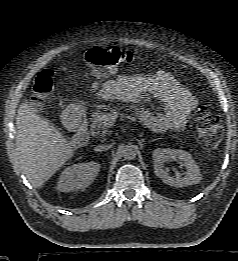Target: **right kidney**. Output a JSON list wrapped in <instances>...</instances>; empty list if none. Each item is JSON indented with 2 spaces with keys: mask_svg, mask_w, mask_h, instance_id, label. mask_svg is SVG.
Instances as JSON below:
<instances>
[{
  "mask_svg": "<svg viewBox=\"0 0 238 261\" xmlns=\"http://www.w3.org/2000/svg\"><path fill=\"white\" fill-rule=\"evenodd\" d=\"M99 171L100 164L96 162L74 164L62 172L57 189L61 192L85 189L92 184Z\"/></svg>",
  "mask_w": 238,
  "mask_h": 261,
  "instance_id": "right-kidney-1",
  "label": "right kidney"
}]
</instances>
